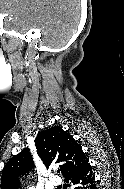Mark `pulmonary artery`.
I'll return each mask as SVG.
<instances>
[{
    "label": "pulmonary artery",
    "mask_w": 124,
    "mask_h": 189,
    "mask_svg": "<svg viewBox=\"0 0 124 189\" xmlns=\"http://www.w3.org/2000/svg\"><path fill=\"white\" fill-rule=\"evenodd\" d=\"M51 184H52L53 186H58V185L61 184V179H60L59 177H57V176H53V177L51 178Z\"/></svg>",
    "instance_id": "pulmonary-artery-1"
}]
</instances>
